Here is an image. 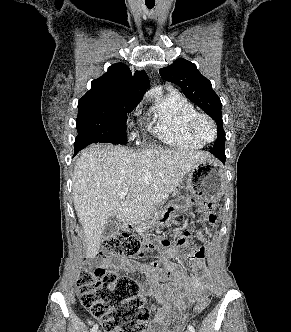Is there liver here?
I'll return each mask as SVG.
<instances>
[{"mask_svg":"<svg viewBox=\"0 0 291 332\" xmlns=\"http://www.w3.org/2000/svg\"><path fill=\"white\" fill-rule=\"evenodd\" d=\"M210 157L203 151H133L112 145L81 150L74 167L72 195L84 229L86 257L97 255L110 216L129 225L148 219L157 203L166 199L198 162Z\"/></svg>","mask_w":291,"mask_h":332,"instance_id":"1","label":"liver"}]
</instances>
